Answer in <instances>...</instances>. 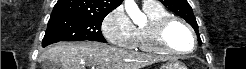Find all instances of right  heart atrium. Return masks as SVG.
Returning <instances> with one entry per match:
<instances>
[{"mask_svg":"<svg viewBox=\"0 0 246 69\" xmlns=\"http://www.w3.org/2000/svg\"><path fill=\"white\" fill-rule=\"evenodd\" d=\"M102 32L113 45L132 47L135 27L123 7L113 9L102 22Z\"/></svg>","mask_w":246,"mask_h":69,"instance_id":"d8ad5b80","label":"right heart atrium"}]
</instances>
